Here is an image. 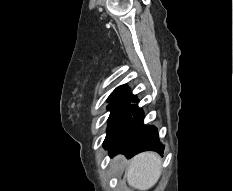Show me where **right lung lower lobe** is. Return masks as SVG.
I'll return each mask as SVG.
<instances>
[{
    "label": "right lung lower lobe",
    "instance_id": "right-lung-lower-lobe-1",
    "mask_svg": "<svg viewBox=\"0 0 233 191\" xmlns=\"http://www.w3.org/2000/svg\"><path fill=\"white\" fill-rule=\"evenodd\" d=\"M126 98L129 105L116 124L108 130L104 148L112 155L123 153L128 158L145 150H157L163 154L164 146L159 142L156 127L144 125L142 109L137 104H131L137 103L138 99L131 93Z\"/></svg>",
    "mask_w": 233,
    "mask_h": 191
}]
</instances>
